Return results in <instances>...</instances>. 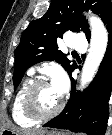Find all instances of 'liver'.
I'll list each match as a JSON object with an SVG mask.
<instances>
[{"instance_id": "liver-1", "label": "liver", "mask_w": 112, "mask_h": 135, "mask_svg": "<svg viewBox=\"0 0 112 135\" xmlns=\"http://www.w3.org/2000/svg\"><path fill=\"white\" fill-rule=\"evenodd\" d=\"M13 132H16L18 135H44L45 130H38V131H21L17 128L11 127Z\"/></svg>"}]
</instances>
